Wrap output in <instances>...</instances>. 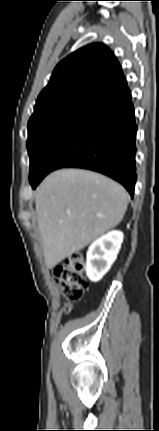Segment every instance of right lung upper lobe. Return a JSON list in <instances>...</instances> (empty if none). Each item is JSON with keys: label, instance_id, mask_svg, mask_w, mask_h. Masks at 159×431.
<instances>
[{"label": "right lung upper lobe", "instance_id": "1", "mask_svg": "<svg viewBox=\"0 0 159 431\" xmlns=\"http://www.w3.org/2000/svg\"><path fill=\"white\" fill-rule=\"evenodd\" d=\"M131 97L121 66L102 43L87 45L63 59L42 90L29 122L67 113L88 118Z\"/></svg>", "mask_w": 159, "mask_h": 431}]
</instances>
